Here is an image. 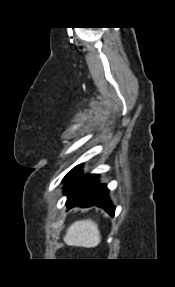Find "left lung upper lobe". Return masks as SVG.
Instances as JSON below:
<instances>
[{
  "label": "left lung upper lobe",
  "instance_id": "obj_1",
  "mask_svg": "<svg viewBox=\"0 0 175 287\" xmlns=\"http://www.w3.org/2000/svg\"><path fill=\"white\" fill-rule=\"evenodd\" d=\"M82 164L74 167L62 180L65 183V192L82 176Z\"/></svg>",
  "mask_w": 175,
  "mask_h": 287
}]
</instances>
